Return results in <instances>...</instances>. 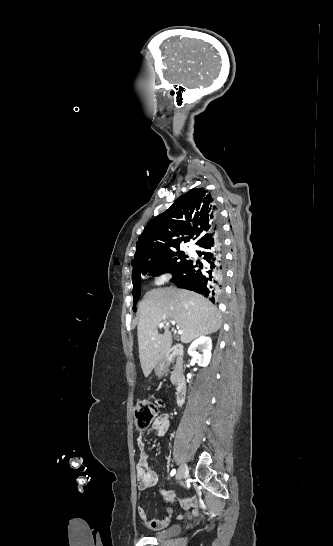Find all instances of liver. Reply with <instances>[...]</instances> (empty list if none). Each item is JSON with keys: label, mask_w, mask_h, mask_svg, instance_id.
I'll return each instance as SVG.
<instances>
[{"label": "liver", "mask_w": 333, "mask_h": 546, "mask_svg": "<svg viewBox=\"0 0 333 546\" xmlns=\"http://www.w3.org/2000/svg\"><path fill=\"white\" fill-rule=\"evenodd\" d=\"M174 320L183 333L182 343L215 333L221 327L222 315L202 295L175 287L148 291L139 304L138 346L141 368L148 377L172 344L170 321ZM164 333L158 334L159 323Z\"/></svg>", "instance_id": "obj_1"}]
</instances>
